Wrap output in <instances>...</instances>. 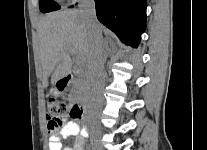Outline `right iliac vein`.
Segmentation results:
<instances>
[{
  "label": "right iliac vein",
  "mask_w": 207,
  "mask_h": 150,
  "mask_svg": "<svg viewBox=\"0 0 207 150\" xmlns=\"http://www.w3.org/2000/svg\"><path fill=\"white\" fill-rule=\"evenodd\" d=\"M93 150H103V149L100 147V145L95 144Z\"/></svg>",
  "instance_id": "right-iliac-vein-1"
}]
</instances>
